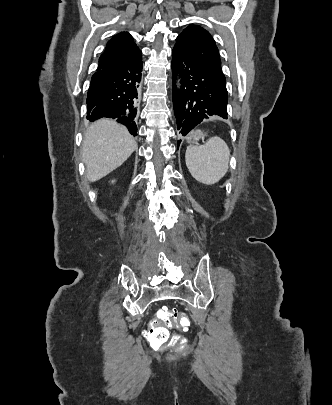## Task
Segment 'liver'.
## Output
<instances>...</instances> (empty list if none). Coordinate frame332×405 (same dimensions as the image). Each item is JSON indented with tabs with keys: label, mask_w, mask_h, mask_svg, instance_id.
Listing matches in <instances>:
<instances>
[{
	"label": "liver",
	"mask_w": 332,
	"mask_h": 405,
	"mask_svg": "<svg viewBox=\"0 0 332 405\" xmlns=\"http://www.w3.org/2000/svg\"><path fill=\"white\" fill-rule=\"evenodd\" d=\"M137 149L126 127L112 119L95 121L87 130L82 146L86 176L95 182L121 166Z\"/></svg>",
	"instance_id": "6515ba94"
}]
</instances>
